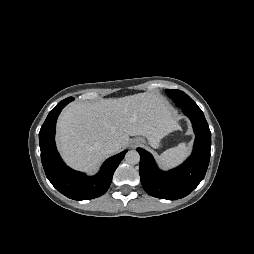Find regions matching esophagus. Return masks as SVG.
I'll return each instance as SVG.
<instances>
[{"label": "esophagus", "mask_w": 254, "mask_h": 254, "mask_svg": "<svg viewBox=\"0 0 254 254\" xmlns=\"http://www.w3.org/2000/svg\"><path fill=\"white\" fill-rule=\"evenodd\" d=\"M139 144H140V141L134 140V141L131 143V147H132V148H135V147H137Z\"/></svg>", "instance_id": "esophagus-1"}]
</instances>
